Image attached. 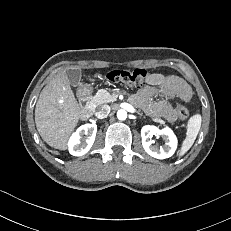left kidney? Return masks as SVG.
Instances as JSON below:
<instances>
[{"label": "left kidney", "mask_w": 231, "mask_h": 231, "mask_svg": "<svg viewBox=\"0 0 231 231\" xmlns=\"http://www.w3.org/2000/svg\"><path fill=\"white\" fill-rule=\"evenodd\" d=\"M154 133L160 135L165 141V145L158 148L152 145L151 137ZM142 145L144 150L152 157L157 159H166L171 157L178 145L177 138L169 127L158 129L153 125L143 126L141 129Z\"/></svg>", "instance_id": "obj_1"}]
</instances>
